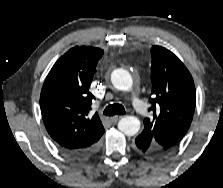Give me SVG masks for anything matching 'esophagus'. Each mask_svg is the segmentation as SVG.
<instances>
[{"mask_svg": "<svg viewBox=\"0 0 223 188\" xmlns=\"http://www.w3.org/2000/svg\"><path fill=\"white\" fill-rule=\"evenodd\" d=\"M121 118H123L122 115H116V116H113L110 118V120L113 122V123H116L118 120H120Z\"/></svg>", "mask_w": 223, "mask_h": 188, "instance_id": "esophagus-1", "label": "esophagus"}]
</instances>
